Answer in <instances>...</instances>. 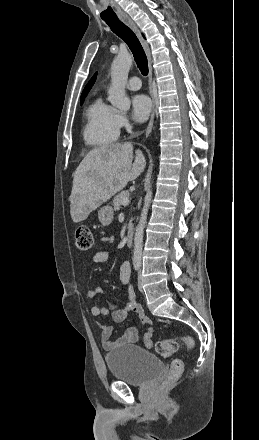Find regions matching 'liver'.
I'll return each instance as SVG.
<instances>
[{"label":"liver","instance_id":"1","mask_svg":"<svg viewBox=\"0 0 259 440\" xmlns=\"http://www.w3.org/2000/svg\"><path fill=\"white\" fill-rule=\"evenodd\" d=\"M131 143L103 145L91 150L77 167L70 196V214L79 223L144 171L146 160Z\"/></svg>","mask_w":259,"mask_h":440}]
</instances>
